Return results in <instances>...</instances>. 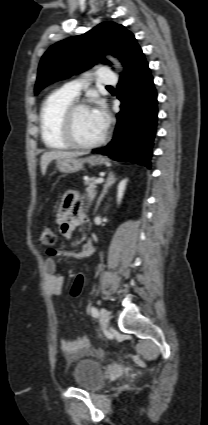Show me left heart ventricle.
Masks as SVG:
<instances>
[{
	"label": "left heart ventricle",
	"mask_w": 208,
	"mask_h": 425,
	"mask_svg": "<svg viewBox=\"0 0 208 425\" xmlns=\"http://www.w3.org/2000/svg\"><path fill=\"white\" fill-rule=\"evenodd\" d=\"M91 109L79 110L74 119V133L83 143L97 141L104 133Z\"/></svg>",
	"instance_id": "obj_1"
}]
</instances>
